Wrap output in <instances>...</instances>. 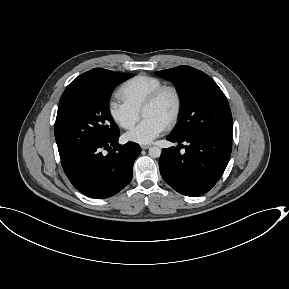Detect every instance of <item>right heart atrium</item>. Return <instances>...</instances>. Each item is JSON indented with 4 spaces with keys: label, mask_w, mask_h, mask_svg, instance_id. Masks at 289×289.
Here are the masks:
<instances>
[{
    "label": "right heart atrium",
    "mask_w": 289,
    "mask_h": 289,
    "mask_svg": "<svg viewBox=\"0 0 289 289\" xmlns=\"http://www.w3.org/2000/svg\"><path fill=\"white\" fill-rule=\"evenodd\" d=\"M108 113L111 119L123 129H131L139 120L140 112L117 100L108 103Z\"/></svg>",
    "instance_id": "d8ad5b80"
}]
</instances>
